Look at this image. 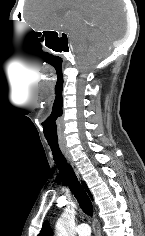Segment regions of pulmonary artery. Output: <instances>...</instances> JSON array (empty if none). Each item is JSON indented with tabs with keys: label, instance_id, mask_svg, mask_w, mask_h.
<instances>
[{
	"label": "pulmonary artery",
	"instance_id": "obj_1",
	"mask_svg": "<svg viewBox=\"0 0 145 236\" xmlns=\"http://www.w3.org/2000/svg\"><path fill=\"white\" fill-rule=\"evenodd\" d=\"M91 229L88 224L81 223L77 226L76 233L78 236H89Z\"/></svg>",
	"mask_w": 145,
	"mask_h": 236
}]
</instances>
